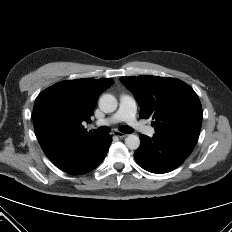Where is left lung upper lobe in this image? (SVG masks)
I'll list each match as a JSON object with an SVG mask.
<instances>
[{
  "label": "left lung upper lobe",
  "mask_w": 232,
  "mask_h": 232,
  "mask_svg": "<svg viewBox=\"0 0 232 232\" xmlns=\"http://www.w3.org/2000/svg\"><path fill=\"white\" fill-rule=\"evenodd\" d=\"M120 80L141 106L140 117L154 119L155 134L199 136L202 106L188 84L176 78L151 75L121 77Z\"/></svg>",
  "instance_id": "left-lung-upper-lobe-1"
}]
</instances>
